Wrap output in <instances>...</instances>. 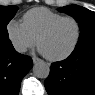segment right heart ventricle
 <instances>
[{"label":"right heart ventricle","mask_w":95,"mask_h":95,"mask_svg":"<svg viewBox=\"0 0 95 95\" xmlns=\"http://www.w3.org/2000/svg\"><path fill=\"white\" fill-rule=\"evenodd\" d=\"M64 17L62 14L44 7H37L23 15V25L29 34L37 40L39 34L51 23Z\"/></svg>","instance_id":"right-heart-ventricle-1"}]
</instances>
